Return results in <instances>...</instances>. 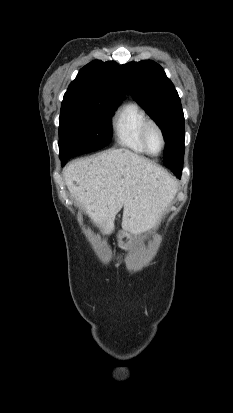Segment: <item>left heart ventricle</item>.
<instances>
[{
  "instance_id": "obj_1",
  "label": "left heart ventricle",
  "mask_w": 233,
  "mask_h": 413,
  "mask_svg": "<svg viewBox=\"0 0 233 413\" xmlns=\"http://www.w3.org/2000/svg\"><path fill=\"white\" fill-rule=\"evenodd\" d=\"M147 144L149 150L153 153H157L161 149V137L154 127H151L147 132Z\"/></svg>"
}]
</instances>
